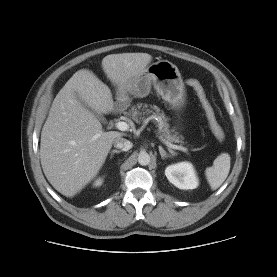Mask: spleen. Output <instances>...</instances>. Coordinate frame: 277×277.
Returning a JSON list of instances; mask_svg holds the SVG:
<instances>
[{"label":"spleen","mask_w":277,"mask_h":277,"mask_svg":"<svg viewBox=\"0 0 277 277\" xmlns=\"http://www.w3.org/2000/svg\"><path fill=\"white\" fill-rule=\"evenodd\" d=\"M230 155L222 153L214 160L211 167L206 168L205 175L212 190L219 188L230 171Z\"/></svg>","instance_id":"3e777b00"}]
</instances>
